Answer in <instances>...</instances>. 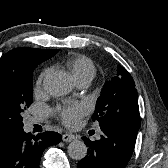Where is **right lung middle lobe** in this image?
I'll return each instance as SVG.
<instances>
[{
	"label": "right lung middle lobe",
	"instance_id": "dd1d6c3e",
	"mask_svg": "<svg viewBox=\"0 0 168 168\" xmlns=\"http://www.w3.org/2000/svg\"><path fill=\"white\" fill-rule=\"evenodd\" d=\"M33 72L17 78L11 89L0 94V131L22 128L23 117L21 113L33 101L32 94Z\"/></svg>",
	"mask_w": 168,
	"mask_h": 168
}]
</instances>
